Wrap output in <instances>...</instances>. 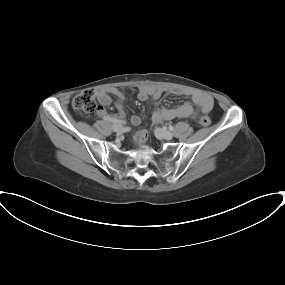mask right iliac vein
Here are the masks:
<instances>
[{
	"instance_id": "obj_1",
	"label": "right iliac vein",
	"mask_w": 285,
	"mask_h": 285,
	"mask_svg": "<svg viewBox=\"0 0 285 285\" xmlns=\"http://www.w3.org/2000/svg\"><path fill=\"white\" fill-rule=\"evenodd\" d=\"M112 129H113L114 132H118L119 133V132H122L124 128L120 124H114L112 126Z\"/></svg>"
}]
</instances>
